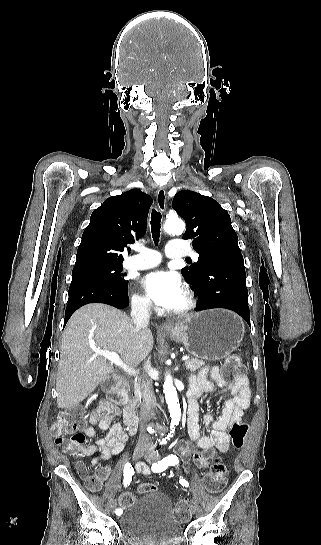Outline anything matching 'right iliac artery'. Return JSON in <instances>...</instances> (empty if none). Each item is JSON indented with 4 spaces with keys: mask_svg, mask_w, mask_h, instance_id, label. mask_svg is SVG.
I'll return each mask as SVG.
<instances>
[{
    "mask_svg": "<svg viewBox=\"0 0 321 545\" xmlns=\"http://www.w3.org/2000/svg\"><path fill=\"white\" fill-rule=\"evenodd\" d=\"M133 474H134V469H133L132 465L130 463H127L125 465V467H124V481H123V484H124L125 487L130 484ZM116 514L117 515L121 514V510L117 509Z\"/></svg>",
    "mask_w": 321,
    "mask_h": 545,
    "instance_id": "82829eb1",
    "label": "right iliac artery"
}]
</instances>
